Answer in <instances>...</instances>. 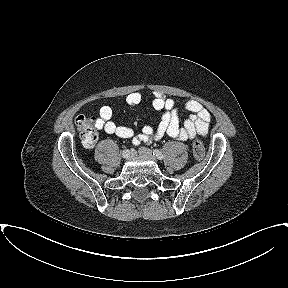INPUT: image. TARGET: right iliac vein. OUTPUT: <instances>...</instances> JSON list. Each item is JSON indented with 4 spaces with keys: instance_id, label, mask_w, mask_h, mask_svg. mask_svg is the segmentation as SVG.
I'll return each instance as SVG.
<instances>
[{
    "instance_id": "63e3f726",
    "label": "right iliac vein",
    "mask_w": 288,
    "mask_h": 288,
    "mask_svg": "<svg viewBox=\"0 0 288 288\" xmlns=\"http://www.w3.org/2000/svg\"><path fill=\"white\" fill-rule=\"evenodd\" d=\"M128 151H129L130 158H132L135 155V152L134 151H130V150H128Z\"/></svg>"
}]
</instances>
